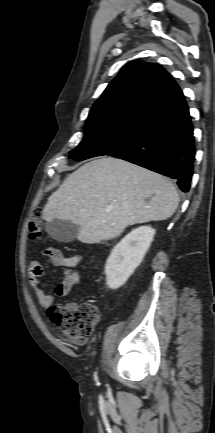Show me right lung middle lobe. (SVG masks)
Listing matches in <instances>:
<instances>
[{"label": "right lung middle lobe", "mask_w": 215, "mask_h": 433, "mask_svg": "<svg viewBox=\"0 0 215 433\" xmlns=\"http://www.w3.org/2000/svg\"><path fill=\"white\" fill-rule=\"evenodd\" d=\"M145 119L144 116H122L86 122L85 137L69 157L82 161L120 150L137 135Z\"/></svg>", "instance_id": "dd1d6c3e"}]
</instances>
